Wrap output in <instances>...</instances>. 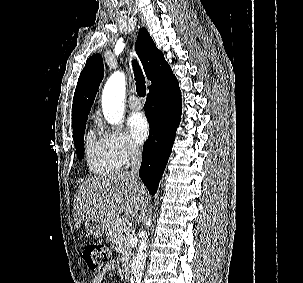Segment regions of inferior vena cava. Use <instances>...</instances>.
Returning <instances> with one entry per match:
<instances>
[{
    "mask_svg": "<svg viewBox=\"0 0 303 283\" xmlns=\"http://www.w3.org/2000/svg\"><path fill=\"white\" fill-rule=\"evenodd\" d=\"M130 156H131V171L130 175L131 176H136L138 175L140 166H141V160H142V152L140 148L132 144L130 147Z\"/></svg>",
    "mask_w": 303,
    "mask_h": 283,
    "instance_id": "inferior-vena-cava-1",
    "label": "inferior vena cava"
}]
</instances>
